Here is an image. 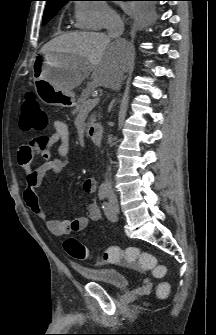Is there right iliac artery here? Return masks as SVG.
Masks as SVG:
<instances>
[{
    "instance_id": "right-iliac-artery-1",
    "label": "right iliac artery",
    "mask_w": 216,
    "mask_h": 335,
    "mask_svg": "<svg viewBox=\"0 0 216 335\" xmlns=\"http://www.w3.org/2000/svg\"><path fill=\"white\" fill-rule=\"evenodd\" d=\"M107 195V187L106 185L102 184L100 187H99V192H98V196L100 198V200H103Z\"/></svg>"
}]
</instances>
